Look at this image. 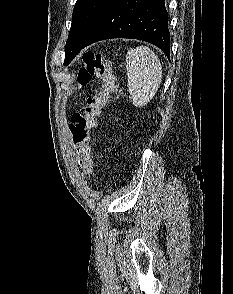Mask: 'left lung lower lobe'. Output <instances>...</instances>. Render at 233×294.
<instances>
[{
	"label": "left lung lower lobe",
	"mask_w": 233,
	"mask_h": 294,
	"mask_svg": "<svg viewBox=\"0 0 233 294\" xmlns=\"http://www.w3.org/2000/svg\"><path fill=\"white\" fill-rule=\"evenodd\" d=\"M111 38L149 42L169 58L170 33L164 0H111L88 34L82 49Z\"/></svg>",
	"instance_id": "1"
}]
</instances>
